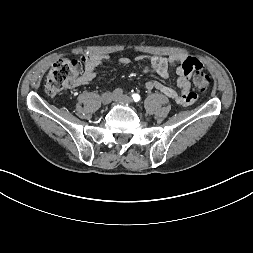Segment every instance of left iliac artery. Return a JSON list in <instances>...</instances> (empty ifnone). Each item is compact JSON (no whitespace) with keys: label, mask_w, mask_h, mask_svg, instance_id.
<instances>
[{"label":"left iliac artery","mask_w":253,"mask_h":253,"mask_svg":"<svg viewBox=\"0 0 253 253\" xmlns=\"http://www.w3.org/2000/svg\"><path fill=\"white\" fill-rule=\"evenodd\" d=\"M132 98L135 102H138L140 100V95L139 94H133Z\"/></svg>","instance_id":"1"}]
</instances>
